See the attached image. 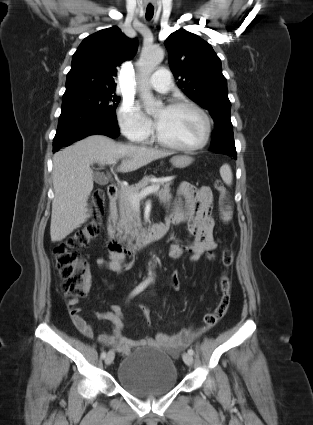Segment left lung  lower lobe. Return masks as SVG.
Instances as JSON below:
<instances>
[{"instance_id":"1","label":"left lung lower lobe","mask_w":313,"mask_h":425,"mask_svg":"<svg viewBox=\"0 0 313 425\" xmlns=\"http://www.w3.org/2000/svg\"><path fill=\"white\" fill-rule=\"evenodd\" d=\"M232 128H218L212 133V143L210 150L215 153L232 155L235 159L237 153Z\"/></svg>"}]
</instances>
